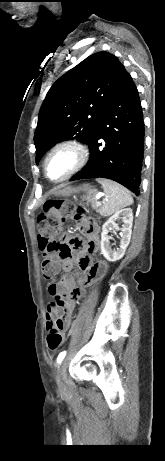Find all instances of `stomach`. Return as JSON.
<instances>
[{"label": "stomach", "mask_w": 165, "mask_h": 461, "mask_svg": "<svg viewBox=\"0 0 165 461\" xmlns=\"http://www.w3.org/2000/svg\"><path fill=\"white\" fill-rule=\"evenodd\" d=\"M78 192H85L88 196H92L94 194V189L89 184H83L77 187H71L67 186L64 187L56 192L57 195L61 196H70L73 193H78Z\"/></svg>", "instance_id": "1"}]
</instances>
